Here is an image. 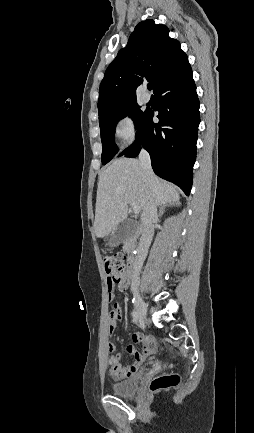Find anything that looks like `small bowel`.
Wrapping results in <instances>:
<instances>
[{"mask_svg": "<svg viewBox=\"0 0 254 433\" xmlns=\"http://www.w3.org/2000/svg\"><path fill=\"white\" fill-rule=\"evenodd\" d=\"M128 286L129 284L127 282L123 284H118L117 288L119 291L124 292L128 289ZM113 292H114V285L111 286L110 288L108 286L109 300H113L114 298ZM120 320H121V308L119 304L115 303L112 306V310L108 322L109 334H113L116 331ZM131 338L133 340V344L127 345L126 349L127 352L133 357V362L128 366H124L121 363L120 354L115 353L116 350L115 344L111 342L107 344V351L109 353L107 358V363L109 365V371L111 376L116 380H122L134 376L139 371L144 360L152 352L150 341L145 335L139 332H133L131 334ZM136 344H142L143 348L141 350H138L135 346Z\"/></svg>", "mask_w": 254, "mask_h": 433, "instance_id": "c3829d8e", "label": "small bowel"}]
</instances>
